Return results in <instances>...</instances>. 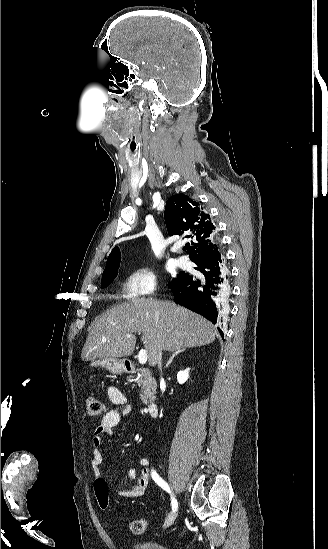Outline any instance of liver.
Returning <instances> with one entry per match:
<instances>
[{"label": "liver", "instance_id": "obj_1", "mask_svg": "<svg viewBox=\"0 0 328 549\" xmlns=\"http://www.w3.org/2000/svg\"><path fill=\"white\" fill-rule=\"evenodd\" d=\"M141 333L150 367L158 363L161 351L203 347L215 341L214 325L172 301L131 299L115 305L95 319L82 349L83 361L129 357ZM126 335H131L130 339Z\"/></svg>", "mask_w": 328, "mask_h": 549}]
</instances>
